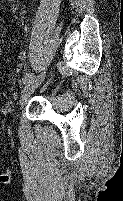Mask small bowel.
Returning a JSON list of instances; mask_svg holds the SVG:
<instances>
[{"label":"small bowel","instance_id":"obj_1","mask_svg":"<svg viewBox=\"0 0 123 201\" xmlns=\"http://www.w3.org/2000/svg\"><path fill=\"white\" fill-rule=\"evenodd\" d=\"M11 1V0H9ZM3 54V49L0 46V57ZM18 59H19V63H17L13 68L15 71H20L23 68V62L27 59V52L25 50H21L18 53ZM3 71V69L0 68V73Z\"/></svg>","mask_w":123,"mask_h":201}]
</instances>
